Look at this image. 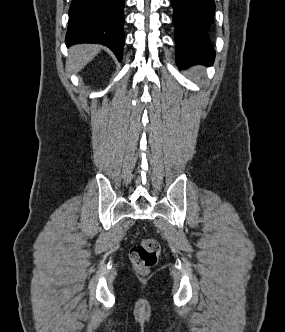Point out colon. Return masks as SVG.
I'll return each instance as SVG.
<instances>
[{"mask_svg":"<svg viewBox=\"0 0 285 332\" xmlns=\"http://www.w3.org/2000/svg\"><path fill=\"white\" fill-rule=\"evenodd\" d=\"M160 255V244L154 239H144L130 250V260L134 267L146 272L156 265Z\"/></svg>","mask_w":285,"mask_h":332,"instance_id":"obj_1","label":"colon"}]
</instances>
